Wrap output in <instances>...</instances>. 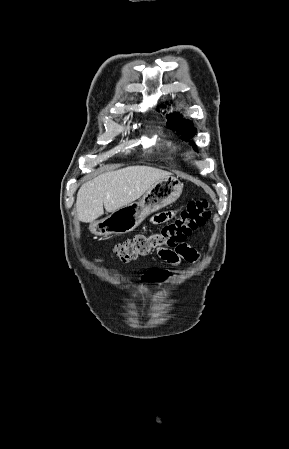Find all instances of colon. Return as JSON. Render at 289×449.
<instances>
[{"instance_id":"colon-1","label":"colon","mask_w":289,"mask_h":449,"mask_svg":"<svg viewBox=\"0 0 289 449\" xmlns=\"http://www.w3.org/2000/svg\"><path fill=\"white\" fill-rule=\"evenodd\" d=\"M211 213L205 200L191 201L171 223L160 231L151 234H140L134 238L118 243L112 254L122 262H129L139 256H145L161 248H174L183 244L186 238L197 228L203 226ZM169 269L148 268L143 273L145 280H166L170 276Z\"/></svg>"}]
</instances>
